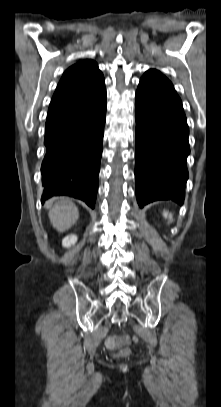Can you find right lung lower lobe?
Segmentation results:
<instances>
[{
    "label": "right lung lower lobe",
    "mask_w": 221,
    "mask_h": 407,
    "mask_svg": "<svg viewBox=\"0 0 221 407\" xmlns=\"http://www.w3.org/2000/svg\"><path fill=\"white\" fill-rule=\"evenodd\" d=\"M106 120L105 87L84 99L49 108L42 200L68 195L94 208Z\"/></svg>",
    "instance_id": "right-lung-lower-lobe-1"
}]
</instances>
